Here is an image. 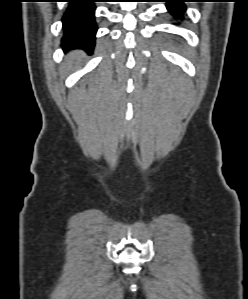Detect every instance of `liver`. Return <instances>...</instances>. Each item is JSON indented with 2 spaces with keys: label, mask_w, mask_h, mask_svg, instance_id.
Returning <instances> with one entry per match:
<instances>
[{
  "label": "liver",
  "mask_w": 248,
  "mask_h": 299,
  "mask_svg": "<svg viewBox=\"0 0 248 299\" xmlns=\"http://www.w3.org/2000/svg\"><path fill=\"white\" fill-rule=\"evenodd\" d=\"M80 55H81V52H79V51H74V52L70 53V54L67 56V58H66V62H67L68 64H71V63H73L74 61H76V60L80 57Z\"/></svg>",
  "instance_id": "1"
}]
</instances>
